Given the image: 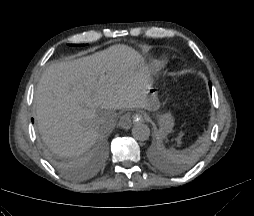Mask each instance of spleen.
Returning <instances> with one entry per match:
<instances>
[{
  "mask_svg": "<svg viewBox=\"0 0 254 216\" xmlns=\"http://www.w3.org/2000/svg\"><path fill=\"white\" fill-rule=\"evenodd\" d=\"M173 154H174V151H170V152L168 153L169 156H173Z\"/></svg>",
  "mask_w": 254,
  "mask_h": 216,
  "instance_id": "3e777b00",
  "label": "spleen"
}]
</instances>
